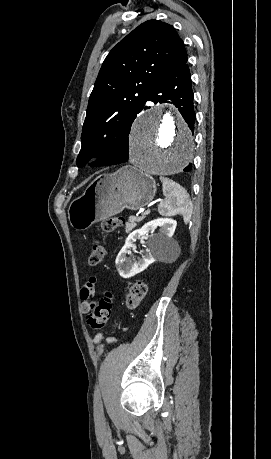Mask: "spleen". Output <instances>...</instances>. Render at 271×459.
I'll use <instances>...</instances> for the list:
<instances>
[{"label":"spleen","mask_w":271,"mask_h":459,"mask_svg":"<svg viewBox=\"0 0 271 459\" xmlns=\"http://www.w3.org/2000/svg\"><path fill=\"white\" fill-rule=\"evenodd\" d=\"M159 180L162 182L163 194L166 196L165 200L158 206L159 214H161V216L181 214L185 224H188L193 212L192 202H190V200L187 202V200L183 198V192H181L182 188L179 184H176L173 180H169V178H164V176H160Z\"/></svg>","instance_id":"obj_1"}]
</instances>
